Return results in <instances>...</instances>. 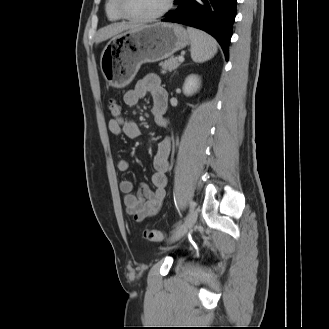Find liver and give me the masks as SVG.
<instances>
[{"label":"liver","instance_id":"6515ba94","mask_svg":"<svg viewBox=\"0 0 329 329\" xmlns=\"http://www.w3.org/2000/svg\"><path fill=\"white\" fill-rule=\"evenodd\" d=\"M139 27L138 25H130L127 23H115L101 28L96 35V44L105 41L113 36H116L123 31L133 30Z\"/></svg>","mask_w":329,"mask_h":329}]
</instances>
